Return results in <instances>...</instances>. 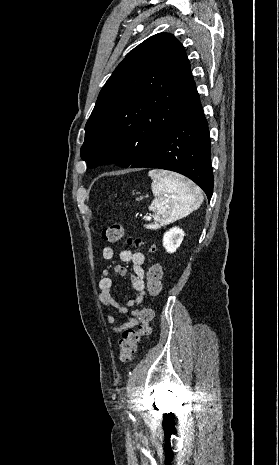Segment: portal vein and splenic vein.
Masks as SVG:
<instances>
[{"label":"portal vein and splenic vein","instance_id":"18ae733b","mask_svg":"<svg viewBox=\"0 0 279 465\" xmlns=\"http://www.w3.org/2000/svg\"><path fill=\"white\" fill-rule=\"evenodd\" d=\"M150 219H151V217H150V216H147V220H150Z\"/></svg>","mask_w":279,"mask_h":465}]
</instances>
